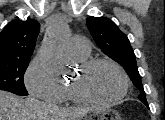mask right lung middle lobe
Instances as JSON below:
<instances>
[{
  "mask_svg": "<svg viewBox=\"0 0 165 120\" xmlns=\"http://www.w3.org/2000/svg\"><path fill=\"white\" fill-rule=\"evenodd\" d=\"M29 62L30 59H0V90L28 95L23 76Z\"/></svg>",
  "mask_w": 165,
  "mask_h": 120,
  "instance_id": "dd1d6c3e",
  "label": "right lung middle lobe"
}]
</instances>
